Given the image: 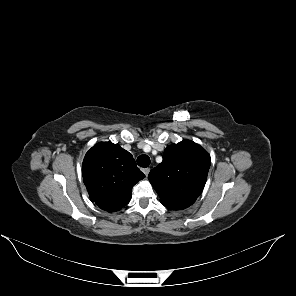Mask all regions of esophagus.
<instances>
[{"label": "esophagus", "instance_id": "obj_1", "mask_svg": "<svg viewBox=\"0 0 296 296\" xmlns=\"http://www.w3.org/2000/svg\"><path fill=\"white\" fill-rule=\"evenodd\" d=\"M144 174L146 175V177L148 176L149 172H150V168H145L143 169Z\"/></svg>", "mask_w": 296, "mask_h": 296}]
</instances>
